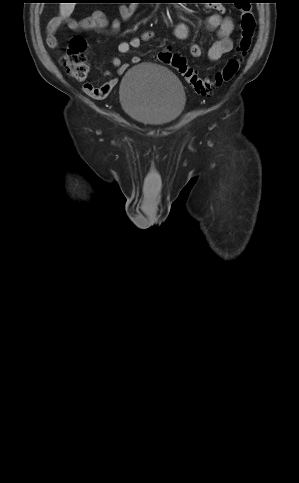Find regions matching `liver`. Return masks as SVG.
Listing matches in <instances>:
<instances>
[{
  "label": "liver",
  "mask_w": 299,
  "mask_h": 483,
  "mask_svg": "<svg viewBox=\"0 0 299 483\" xmlns=\"http://www.w3.org/2000/svg\"><path fill=\"white\" fill-rule=\"evenodd\" d=\"M75 7V3H60V17L62 19L71 15Z\"/></svg>",
  "instance_id": "1"
}]
</instances>
